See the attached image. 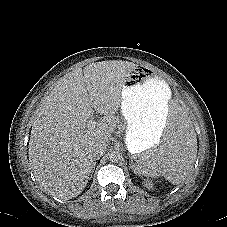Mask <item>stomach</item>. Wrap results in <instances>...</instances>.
Masks as SVG:
<instances>
[{"instance_id":"0dacf381","label":"stomach","mask_w":227,"mask_h":227,"mask_svg":"<svg viewBox=\"0 0 227 227\" xmlns=\"http://www.w3.org/2000/svg\"><path fill=\"white\" fill-rule=\"evenodd\" d=\"M168 84L144 66L127 74L121 101V115L126 124V145L134 158L144 151H155L168 129Z\"/></svg>"}]
</instances>
